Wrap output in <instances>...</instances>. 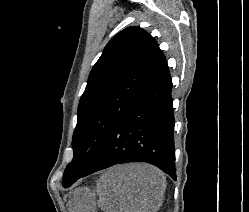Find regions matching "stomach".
Returning <instances> with one entry per match:
<instances>
[{"label":"stomach","instance_id":"stomach-1","mask_svg":"<svg viewBox=\"0 0 249 212\" xmlns=\"http://www.w3.org/2000/svg\"><path fill=\"white\" fill-rule=\"evenodd\" d=\"M96 196L89 188H76L67 194L69 212H96Z\"/></svg>","mask_w":249,"mask_h":212}]
</instances>
